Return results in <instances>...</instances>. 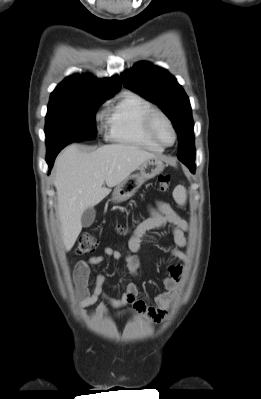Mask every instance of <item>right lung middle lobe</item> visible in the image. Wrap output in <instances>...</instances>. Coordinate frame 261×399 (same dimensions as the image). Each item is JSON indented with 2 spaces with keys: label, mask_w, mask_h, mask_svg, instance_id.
I'll return each mask as SVG.
<instances>
[{
  "label": "right lung middle lobe",
  "mask_w": 261,
  "mask_h": 399,
  "mask_svg": "<svg viewBox=\"0 0 261 399\" xmlns=\"http://www.w3.org/2000/svg\"><path fill=\"white\" fill-rule=\"evenodd\" d=\"M109 98H50L46 115L47 148L96 137L95 113Z\"/></svg>",
  "instance_id": "dd1d6c3e"
}]
</instances>
